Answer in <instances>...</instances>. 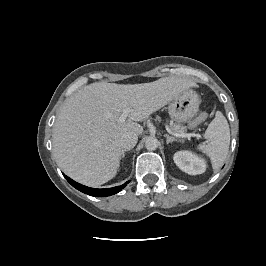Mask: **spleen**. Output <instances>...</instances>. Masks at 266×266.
<instances>
[{
    "mask_svg": "<svg viewBox=\"0 0 266 266\" xmlns=\"http://www.w3.org/2000/svg\"><path fill=\"white\" fill-rule=\"evenodd\" d=\"M208 144H199L197 149L210 157L213 169H218L225 161L230 144V129L225 116L217 111L205 131Z\"/></svg>",
    "mask_w": 266,
    "mask_h": 266,
    "instance_id": "spleen-1",
    "label": "spleen"
}]
</instances>
